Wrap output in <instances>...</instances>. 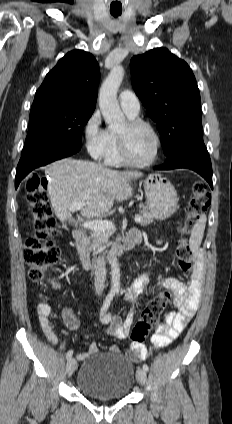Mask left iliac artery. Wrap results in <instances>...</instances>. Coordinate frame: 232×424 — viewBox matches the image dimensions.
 <instances>
[{"label": "left iliac artery", "mask_w": 232, "mask_h": 424, "mask_svg": "<svg viewBox=\"0 0 232 424\" xmlns=\"http://www.w3.org/2000/svg\"><path fill=\"white\" fill-rule=\"evenodd\" d=\"M143 369L147 372V371L149 370L148 365H147V364H144V365H143Z\"/></svg>", "instance_id": "obj_1"}]
</instances>
